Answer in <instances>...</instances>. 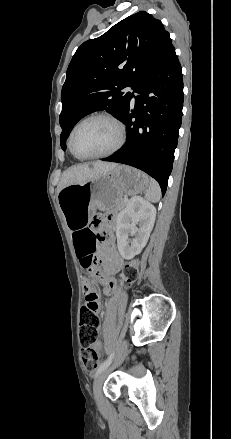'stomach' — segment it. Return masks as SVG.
<instances>
[{
  "instance_id": "obj_1",
  "label": "stomach",
  "mask_w": 231,
  "mask_h": 439,
  "mask_svg": "<svg viewBox=\"0 0 231 439\" xmlns=\"http://www.w3.org/2000/svg\"><path fill=\"white\" fill-rule=\"evenodd\" d=\"M149 186V177L129 166L117 165L91 180L73 184L59 192V204L68 227L89 224L96 209L118 208L124 195L138 194Z\"/></svg>"
}]
</instances>
